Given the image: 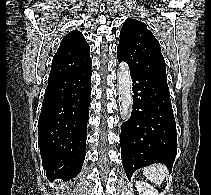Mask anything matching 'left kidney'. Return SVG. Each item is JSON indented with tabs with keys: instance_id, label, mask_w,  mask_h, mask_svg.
I'll return each mask as SVG.
<instances>
[{
	"instance_id": "1",
	"label": "left kidney",
	"mask_w": 211,
	"mask_h": 195,
	"mask_svg": "<svg viewBox=\"0 0 211 195\" xmlns=\"http://www.w3.org/2000/svg\"><path fill=\"white\" fill-rule=\"evenodd\" d=\"M135 187L139 195H160L153 186L143 181H136Z\"/></svg>"
}]
</instances>
